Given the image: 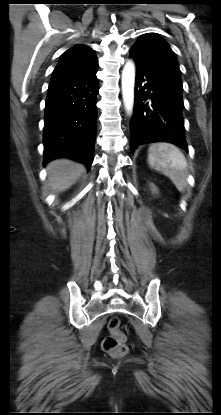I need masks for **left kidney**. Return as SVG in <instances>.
<instances>
[{
  "instance_id": "1",
  "label": "left kidney",
  "mask_w": 221,
  "mask_h": 415,
  "mask_svg": "<svg viewBox=\"0 0 221 415\" xmlns=\"http://www.w3.org/2000/svg\"><path fill=\"white\" fill-rule=\"evenodd\" d=\"M152 188H153V189H152L153 191H156V188H155L153 185H152Z\"/></svg>"
}]
</instances>
